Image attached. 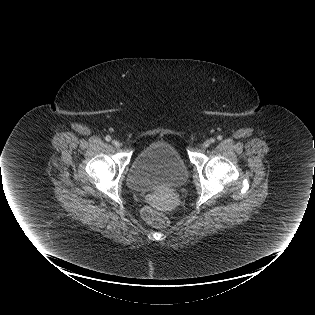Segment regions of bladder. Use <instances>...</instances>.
<instances>
[{"label": "bladder", "instance_id": "1", "mask_svg": "<svg viewBox=\"0 0 315 315\" xmlns=\"http://www.w3.org/2000/svg\"><path fill=\"white\" fill-rule=\"evenodd\" d=\"M188 178L184 160L174 146L157 141L143 148L133 159L127 181L136 191L180 187Z\"/></svg>", "mask_w": 315, "mask_h": 315}]
</instances>
